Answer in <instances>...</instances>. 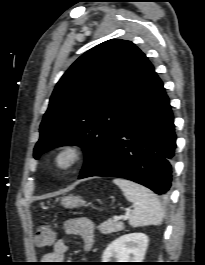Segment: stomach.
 <instances>
[{"instance_id":"stomach-1","label":"stomach","mask_w":205,"mask_h":265,"mask_svg":"<svg viewBox=\"0 0 205 265\" xmlns=\"http://www.w3.org/2000/svg\"><path fill=\"white\" fill-rule=\"evenodd\" d=\"M61 204L66 208H76L84 205V201L78 196L69 195L61 199Z\"/></svg>"}]
</instances>
